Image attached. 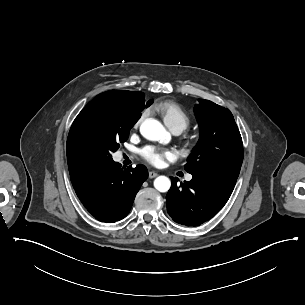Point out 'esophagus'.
I'll return each mask as SVG.
<instances>
[{
	"label": "esophagus",
	"mask_w": 305,
	"mask_h": 305,
	"mask_svg": "<svg viewBox=\"0 0 305 305\" xmlns=\"http://www.w3.org/2000/svg\"><path fill=\"white\" fill-rule=\"evenodd\" d=\"M158 176V174L156 173V172H154V171H150L149 172V178L150 179H153V178H155V177H157Z\"/></svg>",
	"instance_id": "esophagus-1"
}]
</instances>
